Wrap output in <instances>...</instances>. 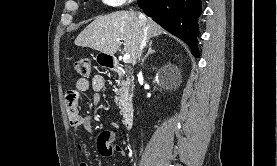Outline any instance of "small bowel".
<instances>
[{
  "instance_id": "obj_1",
  "label": "small bowel",
  "mask_w": 277,
  "mask_h": 166,
  "mask_svg": "<svg viewBox=\"0 0 277 166\" xmlns=\"http://www.w3.org/2000/svg\"><path fill=\"white\" fill-rule=\"evenodd\" d=\"M104 87V78L101 75H94L91 80L87 78H79L75 84V90L69 91L66 95V111L69 118L70 125L77 128H84L88 133V138L93 137V129L91 126V119L95 109L98 106L100 100V92ZM93 90V105L92 110L86 116H82L79 113V96L80 93L86 92L89 89ZM118 124H114V128H117ZM115 134L113 130H105L101 132L96 139L97 150L100 155L105 157H122L125 152L122 147L114 144ZM84 144H80L82 150ZM80 166H88L86 162H81Z\"/></svg>"
}]
</instances>
